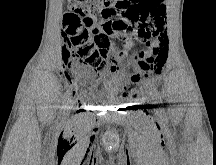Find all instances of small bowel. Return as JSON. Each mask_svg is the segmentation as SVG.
<instances>
[{
	"label": "small bowel",
	"mask_w": 216,
	"mask_h": 165,
	"mask_svg": "<svg viewBox=\"0 0 216 165\" xmlns=\"http://www.w3.org/2000/svg\"><path fill=\"white\" fill-rule=\"evenodd\" d=\"M102 19L100 21L101 31L108 36V38L122 41H141L140 31L149 23L155 21H162L165 17L164 0H137L131 2V5H117V8L110 9L102 8ZM134 14V15H131ZM120 57L115 48H112L109 55V63L114 65ZM71 69V74L65 73L64 80L73 94L77 93L76 81L87 76L88 71L85 67L68 64ZM134 84L141 83V76H134L132 80ZM90 94L95 92V88L88 89ZM137 90L127 94L128 97H134Z\"/></svg>",
	"instance_id": "c3829d8e"
}]
</instances>
